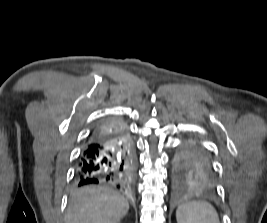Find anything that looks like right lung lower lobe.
<instances>
[{"instance_id": "98d812e1", "label": "right lung lower lobe", "mask_w": 267, "mask_h": 223, "mask_svg": "<svg viewBox=\"0 0 267 223\" xmlns=\"http://www.w3.org/2000/svg\"><path fill=\"white\" fill-rule=\"evenodd\" d=\"M111 131L98 139H88L79 157L76 185L104 183L129 192L135 180L130 137L122 124L116 123Z\"/></svg>"}]
</instances>
